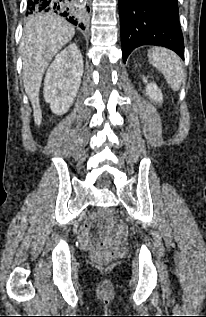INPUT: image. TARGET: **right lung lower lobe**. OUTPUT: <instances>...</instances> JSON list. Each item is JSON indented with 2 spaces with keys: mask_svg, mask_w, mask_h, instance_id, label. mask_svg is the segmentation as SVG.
<instances>
[{
  "mask_svg": "<svg viewBox=\"0 0 206 317\" xmlns=\"http://www.w3.org/2000/svg\"><path fill=\"white\" fill-rule=\"evenodd\" d=\"M81 0H28L26 15H33L43 12H55L62 17H65L69 22L85 29V24L82 21L83 11ZM89 11V8L87 7Z\"/></svg>",
  "mask_w": 206,
  "mask_h": 317,
  "instance_id": "obj_1",
  "label": "right lung lower lobe"
}]
</instances>
